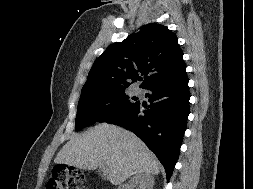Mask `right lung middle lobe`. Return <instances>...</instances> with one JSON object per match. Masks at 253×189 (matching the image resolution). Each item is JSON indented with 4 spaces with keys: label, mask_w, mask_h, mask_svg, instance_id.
<instances>
[{
    "label": "right lung middle lobe",
    "mask_w": 253,
    "mask_h": 189,
    "mask_svg": "<svg viewBox=\"0 0 253 189\" xmlns=\"http://www.w3.org/2000/svg\"><path fill=\"white\" fill-rule=\"evenodd\" d=\"M127 87L108 86L81 92L78 103L75 130L106 122L132 109L138 102H131L125 94Z\"/></svg>",
    "instance_id": "obj_1"
}]
</instances>
